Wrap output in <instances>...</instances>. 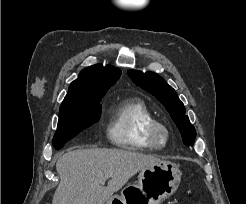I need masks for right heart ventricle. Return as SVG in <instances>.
<instances>
[{
  "instance_id": "obj_1",
  "label": "right heart ventricle",
  "mask_w": 246,
  "mask_h": 204,
  "mask_svg": "<svg viewBox=\"0 0 246 204\" xmlns=\"http://www.w3.org/2000/svg\"><path fill=\"white\" fill-rule=\"evenodd\" d=\"M155 116L141 99L128 98L114 105L109 114L106 135L109 142L126 150H153L146 139L148 126Z\"/></svg>"
}]
</instances>
